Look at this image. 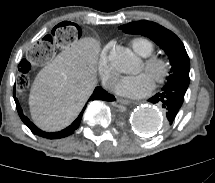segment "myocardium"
Returning <instances> with one entry per match:
<instances>
[{
    "label": "myocardium",
    "instance_id": "myocardium-1",
    "mask_svg": "<svg viewBox=\"0 0 215 183\" xmlns=\"http://www.w3.org/2000/svg\"><path fill=\"white\" fill-rule=\"evenodd\" d=\"M143 69L152 75L155 85L163 84L169 77L171 65L167 59L159 55H151L143 60Z\"/></svg>",
    "mask_w": 215,
    "mask_h": 183
}]
</instances>
